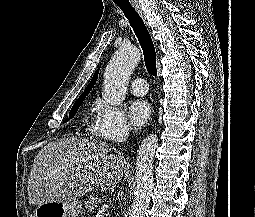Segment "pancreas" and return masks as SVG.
I'll return each mask as SVG.
<instances>
[{
  "mask_svg": "<svg viewBox=\"0 0 255 217\" xmlns=\"http://www.w3.org/2000/svg\"><path fill=\"white\" fill-rule=\"evenodd\" d=\"M101 202L102 200L98 198V196L91 195L88 199L85 200L84 206L90 213H93Z\"/></svg>",
  "mask_w": 255,
  "mask_h": 217,
  "instance_id": "obj_1",
  "label": "pancreas"
}]
</instances>
